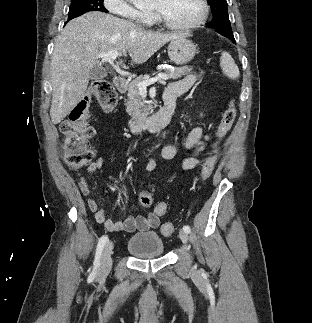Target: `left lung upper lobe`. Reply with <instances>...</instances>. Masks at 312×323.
Returning <instances> with one entry per match:
<instances>
[{
  "label": "left lung upper lobe",
  "instance_id": "5c2ea615",
  "mask_svg": "<svg viewBox=\"0 0 312 323\" xmlns=\"http://www.w3.org/2000/svg\"><path fill=\"white\" fill-rule=\"evenodd\" d=\"M213 12V18L207 27L226 37H234L231 29L226 0H207Z\"/></svg>",
  "mask_w": 312,
  "mask_h": 323
}]
</instances>
